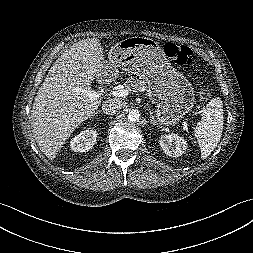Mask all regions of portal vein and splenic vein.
<instances>
[{
	"instance_id": "18ae733b",
	"label": "portal vein and splenic vein",
	"mask_w": 253,
	"mask_h": 253,
	"mask_svg": "<svg viewBox=\"0 0 253 253\" xmlns=\"http://www.w3.org/2000/svg\"><path fill=\"white\" fill-rule=\"evenodd\" d=\"M80 91L82 93L86 94L91 99L99 98L101 95L105 94V92L103 90L95 91V90H90V89H82ZM129 92L130 91L128 89H119L116 91L106 92V95H109V96L112 95V96L119 97V98H125L128 96ZM183 127L184 128L187 127L186 122H183Z\"/></svg>"
}]
</instances>
